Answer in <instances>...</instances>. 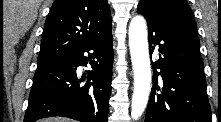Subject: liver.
Listing matches in <instances>:
<instances>
[{
	"label": "liver",
	"mask_w": 221,
	"mask_h": 122,
	"mask_svg": "<svg viewBox=\"0 0 221 122\" xmlns=\"http://www.w3.org/2000/svg\"><path fill=\"white\" fill-rule=\"evenodd\" d=\"M41 122H70V119L61 118V117H54V118L42 119Z\"/></svg>",
	"instance_id": "6515ba94"
}]
</instances>
